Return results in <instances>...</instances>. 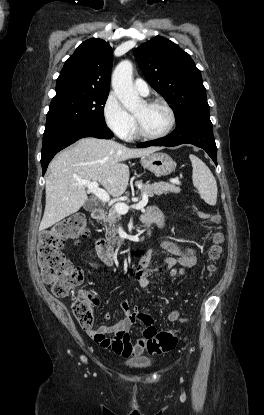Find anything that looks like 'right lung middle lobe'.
I'll return each mask as SVG.
<instances>
[{
	"instance_id": "dd1d6c3e",
	"label": "right lung middle lobe",
	"mask_w": 264,
	"mask_h": 415,
	"mask_svg": "<svg viewBox=\"0 0 264 415\" xmlns=\"http://www.w3.org/2000/svg\"><path fill=\"white\" fill-rule=\"evenodd\" d=\"M107 97L108 93L70 92L56 95L47 113L44 133L82 123L106 124L103 105Z\"/></svg>"
}]
</instances>
